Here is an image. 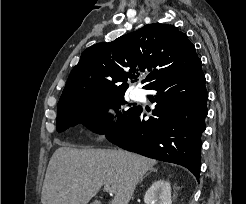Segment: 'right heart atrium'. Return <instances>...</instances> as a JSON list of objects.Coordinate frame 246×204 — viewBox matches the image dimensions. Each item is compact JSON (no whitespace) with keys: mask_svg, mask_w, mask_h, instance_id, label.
Here are the masks:
<instances>
[{"mask_svg":"<svg viewBox=\"0 0 246 204\" xmlns=\"http://www.w3.org/2000/svg\"><path fill=\"white\" fill-rule=\"evenodd\" d=\"M116 118V110L112 104L108 103L99 109L98 123L100 126L99 135L101 138H103L106 135V132L114 126Z\"/></svg>","mask_w":246,"mask_h":204,"instance_id":"obj_1","label":"right heart atrium"}]
</instances>
